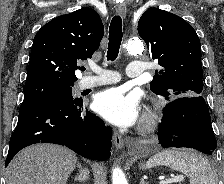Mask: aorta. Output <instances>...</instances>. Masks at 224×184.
Masks as SVG:
<instances>
[{
  "instance_id": "aorta-1",
  "label": "aorta",
  "mask_w": 224,
  "mask_h": 184,
  "mask_svg": "<svg viewBox=\"0 0 224 184\" xmlns=\"http://www.w3.org/2000/svg\"><path fill=\"white\" fill-rule=\"evenodd\" d=\"M125 48L129 53H141L144 50L143 42L138 38L129 39L125 43ZM112 184H128L123 171L115 168L112 171Z\"/></svg>"
}]
</instances>
